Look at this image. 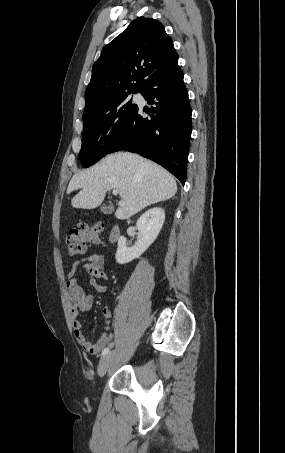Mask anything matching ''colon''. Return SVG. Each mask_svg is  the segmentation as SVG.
Returning <instances> with one entry per match:
<instances>
[{
  "mask_svg": "<svg viewBox=\"0 0 285 453\" xmlns=\"http://www.w3.org/2000/svg\"><path fill=\"white\" fill-rule=\"evenodd\" d=\"M103 224L94 225L80 224L72 229L66 239V251L70 256H76L86 251L88 243L97 242Z\"/></svg>",
  "mask_w": 285,
  "mask_h": 453,
  "instance_id": "colon-1",
  "label": "colon"
}]
</instances>
